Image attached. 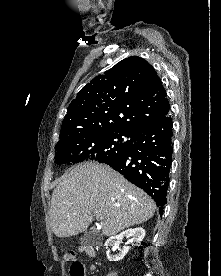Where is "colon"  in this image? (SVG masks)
Returning a JSON list of instances; mask_svg holds the SVG:
<instances>
[{
    "mask_svg": "<svg viewBox=\"0 0 221 276\" xmlns=\"http://www.w3.org/2000/svg\"><path fill=\"white\" fill-rule=\"evenodd\" d=\"M62 258L64 261L72 263L70 269L71 276H85L84 267L80 262L76 261L74 251L68 250L64 252Z\"/></svg>",
    "mask_w": 221,
    "mask_h": 276,
    "instance_id": "1",
    "label": "colon"
}]
</instances>
